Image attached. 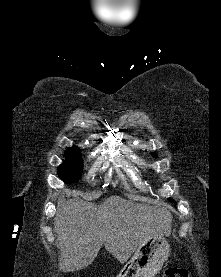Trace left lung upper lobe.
<instances>
[{
	"mask_svg": "<svg viewBox=\"0 0 221 277\" xmlns=\"http://www.w3.org/2000/svg\"><path fill=\"white\" fill-rule=\"evenodd\" d=\"M154 156H155V155H154ZM155 157H156V156H155ZM168 200H169V201H171V202H175V201H174V200H172L171 198H169Z\"/></svg>",
	"mask_w": 221,
	"mask_h": 277,
	"instance_id": "1",
	"label": "left lung upper lobe"
}]
</instances>
